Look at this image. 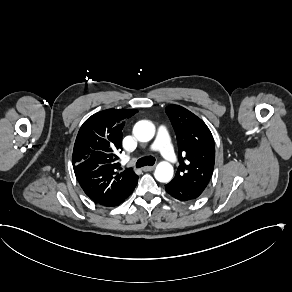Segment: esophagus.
Returning a JSON list of instances; mask_svg holds the SVG:
<instances>
[{"mask_svg":"<svg viewBox=\"0 0 292 292\" xmlns=\"http://www.w3.org/2000/svg\"><path fill=\"white\" fill-rule=\"evenodd\" d=\"M154 168H155V166H144V167L142 168V170H143L144 172H147V171H152Z\"/></svg>","mask_w":292,"mask_h":292,"instance_id":"34e87169","label":"esophagus"}]
</instances>
